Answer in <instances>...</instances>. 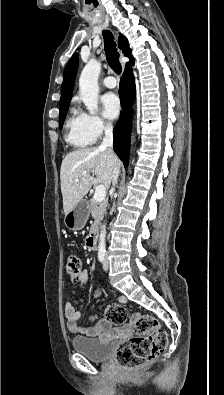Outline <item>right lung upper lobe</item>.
<instances>
[{
	"mask_svg": "<svg viewBox=\"0 0 224 395\" xmlns=\"http://www.w3.org/2000/svg\"><path fill=\"white\" fill-rule=\"evenodd\" d=\"M119 48L123 50L125 56L129 57L131 61H133V57L131 56V49L129 48V44L127 39L123 35H119L118 41ZM128 64V63H127ZM78 67V55L75 54L71 57L65 67L64 71V80L61 87V98H60V110L69 106L71 95L73 91L75 76Z\"/></svg>",
	"mask_w": 224,
	"mask_h": 395,
	"instance_id": "cb5924a9",
	"label": "right lung upper lobe"
}]
</instances>
